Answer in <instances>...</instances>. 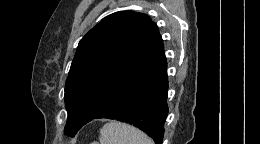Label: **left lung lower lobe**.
Instances as JSON below:
<instances>
[{
    "label": "left lung lower lobe",
    "instance_id": "left-lung-lower-lobe-1",
    "mask_svg": "<svg viewBox=\"0 0 260 144\" xmlns=\"http://www.w3.org/2000/svg\"><path fill=\"white\" fill-rule=\"evenodd\" d=\"M134 70L116 89L94 119H112L131 124L162 144L168 115V80L157 66L159 58Z\"/></svg>",
    "mask_w": 260,
    "mask_h": 144
}]
</instances>
